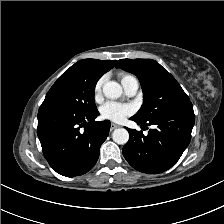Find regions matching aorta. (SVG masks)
Wrapping results in <instances>:
<instances>
[{"mask_svg": "<svg viewBox=\"0 0 224 224\" xmlns=\"http://www.w3.org/2000/svg\"><path fill=\"white\" fill-rule=\"evenodd\" d=\"M103 93L109 99H117L122 95V87L115 81L106 82L103 85ZM112 139L119 145H124L129 140V133L125 128L115 129L112 133Z\"/></svg>", "mask_w": 224, "mask_h": 224, "instance_id": "aorta-1", "label": "aorta"}]
</instances>
